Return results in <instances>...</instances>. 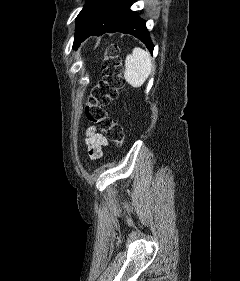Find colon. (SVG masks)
I'll use <instances>...</instances> for the list:
<instances>
[{"label":"colon","instance_id":"obj_1","mask_svg":"<svg viewBox=\"0 0 240 281\" xmlns=\"http://www.w3.org/2000/svg\"><path fill=\"white\" fill-rule=\"evenodd\" d=\"M123 85L119 48L110 44L103 60L101 78L90 91L85 113L88 121L98 125L119 146L124 143L123 128L107 114L105 107L117 98Z\"/></svg>","mask_w":240,"mask_h":281}]
</instances>
